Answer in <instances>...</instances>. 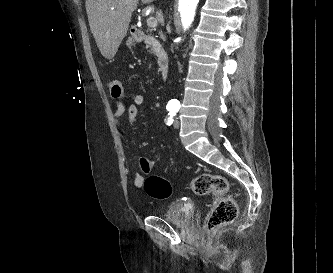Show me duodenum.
I'll return each mask as SVG.
<instances>
[{"mask_svg":"<svg viewBox=\"0 0 333 273\" xmlns=\"http://www.w3.org/2000/svg\"><path fill=\"white\" fill-rule=\"evenodd\" d=\"M131 32H132L133 37L136 41L149 42V43H155L156 44V40L152 36L148 35L144 30H142L139 27H136V26L132 27ZM157 58H158V65H159L161 77L163 79H165L168 75L169 68H170L169 56L164 50L158 48Z\"/></svg>","mask_w":333,"mask_h":273,"instance_id":"obj_1","label":"duodenum"}]
</instances>
